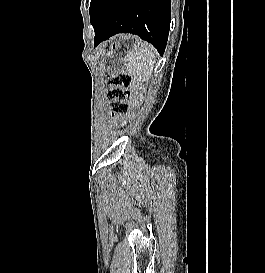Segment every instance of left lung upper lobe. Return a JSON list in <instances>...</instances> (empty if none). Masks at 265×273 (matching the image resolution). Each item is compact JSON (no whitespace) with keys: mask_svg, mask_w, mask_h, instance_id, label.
I'll list each match as a JSON object with an SVG mask.
<instances>
[{"mask_svg":"<svg viewBox=\"0 0 265 273\" xmlns=\"http://www.w3.org/2000/svg\"><path fill=\"white\" fill-rule=\"evenodd\" d=\"M104 12L90 7V20L93 26L97 27L104 20Z\"/></svg>","mask_w":265,"mask_h":273,"instance_id":"5c2ea615","label":"left lung upper lobe"}]
</instances>
